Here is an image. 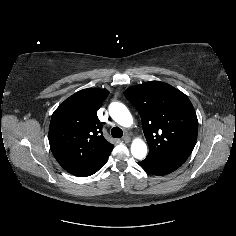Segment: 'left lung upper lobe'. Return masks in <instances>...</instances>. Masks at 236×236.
Masks as SVG:
<instances>
[{
	"label": "left lung upper lobe",
	"instance_id": "left-lung-upper-lobe-1",
	"mask_svg": "<svg viewBox=\"0 0 236 236\" xmlns=\"http://www.w3.org/2000/svg\"><path fill=\"white\" fill-rule=\"evenodd\" d=\"M126 99L138 110L149 145L146 159L183 164L198 134V120L188 97L173 86L151 81L130 87Z\"/></svg>",
	"mask_w": 236,
	"mask_h": 236
}]
</instances>
